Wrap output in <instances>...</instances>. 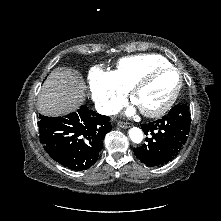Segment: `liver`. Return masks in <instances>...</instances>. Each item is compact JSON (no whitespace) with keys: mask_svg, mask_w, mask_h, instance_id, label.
Returning <instances> with one entry per match:
<instances>
[{"mask_svg":"<svg viewBox=\"0 0 221 221\" xmlns=\"http://www.w3.org/2000/svg\"><path fill=\"white\" fill-rule=\"evenodd\" d=\"M83 79L70 69L51 72L38 97V110L47 116H59L77 110L85 100Z\"/></svg>","mask_w":221,"mask_h":221,"instance_id":"obj_1","label":"liver"}]
</instances>
